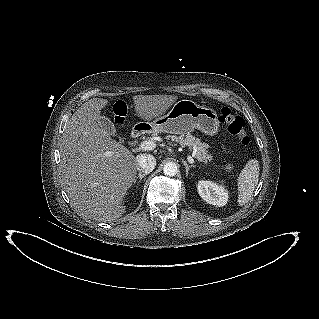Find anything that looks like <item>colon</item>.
Segmentation results:
<instances>
[{
	"mask_svg": "<svg viewBox=\"0 0 319 319\" xmlns=\"http://www.w3.org/2000/svg\"><path fill=\"white\" fill-rule=\"evenodd\" d=\"M126 113L127 108L123 102H117L114 105L112 115L117 125H121L124 122ZM219 120L226 124L228 132L236 136L241 145L247 146L250 143V139L244 129V120L239 116L233 115L229 108L224 107L221 109Z\"/></svg>",
	"mask_w": 319,
	"mask_h": 319,
	"instance_id": "5ec220e1",
	"label": "colon"
}]
</instances>
